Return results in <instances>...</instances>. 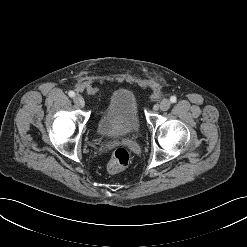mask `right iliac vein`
I'll return each instance as SVG.
<instances>
[{
	"label": "right iliac vein",
	"mask_w": 247,
	"mask_h": 247,
	"mask_svg": "<svg viewBox=\"0 0 247 247\" xmlns=\"http://www.w3.org/2000/svg\"><path fill=\"white\" fill-rule=\"evenodd\" d=\"M73 100H74V103H75L77 106H79V107H84L85 102H84V99H83V97H82L81 95H76V96H74Z\"/></svg>",
	"instance_id": "right-iliac-vein-1"
}]
</instances>
